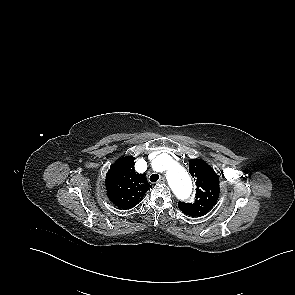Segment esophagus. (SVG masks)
Here are the masks:
<instances>
[{"mask_svg":"<svg viewBox=\"0 0 295 295\" xmlns=\"http://www.w3.org/2000/svg\"><path fill=\"white\" fill-rule=\"evenodd\" d=\"M165 178L164 177H161L160 179H159V181H158V183H161V184H163V183H165Z\"/></svg>","mask_w":295,"mask_h":295,"instance_id":"34e87169","label":"esophagus"}]
</instances>
